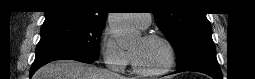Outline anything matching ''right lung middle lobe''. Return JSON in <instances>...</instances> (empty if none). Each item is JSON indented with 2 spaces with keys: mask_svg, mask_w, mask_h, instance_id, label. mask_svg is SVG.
Wrapping results in <instances>:
<instances>
[{
  "mask_svg": "<svg viewBox=\"0 0 255 79\" xmlns=\"http://www.w3.org/2000/svg\"><path fill=\"white\" fill-rule=\"evenodd\" d=\"M105 25L57 20L44 22L36 58L51 54H70L99 58L100 36Z\"/></svg>",
  "mask_w": 255,
  "mask_h": 79,
  "instance_id": "1",
  "label": "right lung middle lobe"
}]
</instances>
